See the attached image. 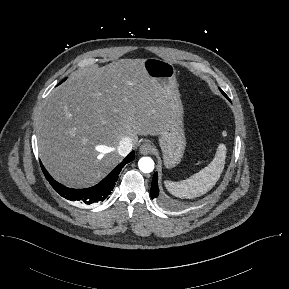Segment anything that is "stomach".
Wrapping results in <instances>:
<instances>
[{
  "instance_id": "stomach-1",
  "label": "stomach",
  "mask_w": 289,
  "mask_h": 289,
  "mask_svg": "<svg viewBox=\"0 0 289 289\" xmlns=\"http://www.w3.org/2000/svg\"><path fill=\"white\" fill-rule=\"evenodd\" d=\"M144 68L149 77L163 91L170 106L169 120L160 134L159 144L165 166L172 168L180 163L186 147L183 106L176 81V70L171 62L159 58L144 59Z\"/></svg>"
}]
</instances>
